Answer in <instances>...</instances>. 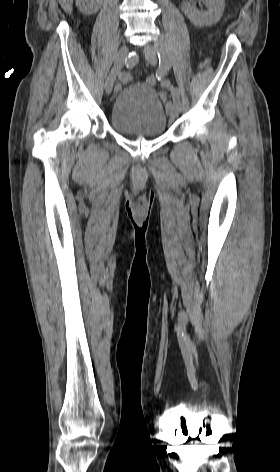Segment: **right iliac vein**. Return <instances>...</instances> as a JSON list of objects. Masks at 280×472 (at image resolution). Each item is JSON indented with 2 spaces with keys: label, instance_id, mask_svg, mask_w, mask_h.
I'll use <instances>...</instances> for the list:
<instances>
[{
  "label": "right iliac vein",
  "instance_id": "right-iliac-vein-1",
  "mask_svg": "<svg viewBox=\"0 0 280 472\" xmlns=\"http://www.w3.org/2000/svg\"><path fill=\"white\" fill-rule=\"evenodd\" d=\"M128 52H129L128 47L122 46L116 55L114 66L105 81V91L108 95L112 92L117 74L120 72L121 68L123 67L125 59L128 55Z\"/></svg>",
  "mask_w": 280,
  "mask_h": 472
}]
</instances>
